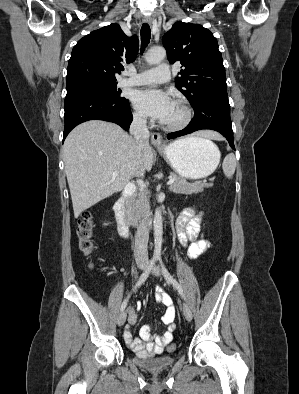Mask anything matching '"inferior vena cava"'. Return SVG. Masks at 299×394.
Returning a JSON list of instances; mask_svg holds the SVG:
<instances>
[{"instance_id": "inferior-vena-cava-1", "label": "inferior vena cava", "mask_w": 299, "mask_h": 394, "mask_svg": "<svg viewBox=\"0 0 299 394\" xmlns=\"http://www.w3.org/2000/svg\"><path fill=\"white\" fill-rule=\"evenodd\" d=\"M130 134L133 135L136 147L139 152L149 143V131L146 126V119L143 116L134 115L130 126ZM144 170L141 171L140 176H144ZM145 205L142 206L144 210ZM145 211V210H144ZM148 240L149 229L147 217L143 216L139 221L137 232L135 236L134 257L137 264L148 263Z\"/></svg>"}]
</instances>
